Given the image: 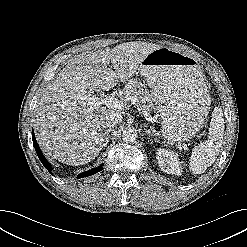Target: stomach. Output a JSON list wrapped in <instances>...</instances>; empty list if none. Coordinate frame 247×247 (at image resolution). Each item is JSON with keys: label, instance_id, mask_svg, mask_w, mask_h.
Instances as JSON below:
<instances>
[{"label": "stomach", "instance_id": "1", "mask_svg": "<svg viewBox=\"0 0 247 247\" xmlns=\"http://www.w3.org/2000/svg\"><path fill=\"white\" fill-rule=\"evenodd\" d=\"M139 72L151 88L164 138L181 143L194 137L208 112L209 94L197 60L168 47L149 53Z\"/></svg>", "mask_w": 247, "mask_h": 247}]
</instances>
